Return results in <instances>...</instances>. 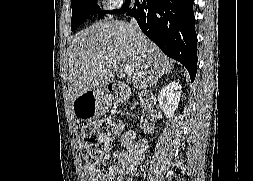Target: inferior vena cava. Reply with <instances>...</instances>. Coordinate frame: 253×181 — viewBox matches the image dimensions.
<instances>
[{"label": "inferior vena cava", "instance_id": "602c4592", "mask_svg": "<svg viewBox=\"0 0 253 181\" xmlns=\"http://www.w3.org/2000/svg\"><path fill=\"white\" fill-rule=\"evenodd\" d=\"M130 23H131V25L134 27V29L137 31V33H138L139 35H141V34H142V31L140 30L137 21H136L134 18H131Z\"/></svg>", "mask_w": 253, "mask_h": 181}]
</instances>
